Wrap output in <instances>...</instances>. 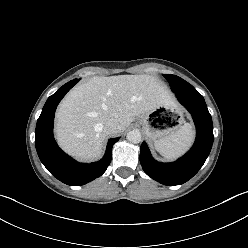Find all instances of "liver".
Segmentation results:
<instances>
[{
	"instance_id": "liver-1",
	"label": "liver",
	"mask_w": 248,
	"mask_h": 248,
	"mask_svg": "<svg viewBox=\"0 0 248 248\" xmlns=\"http://www.w3.org/2000/svg\"><path fill=\"white\" fill-rule=\"evenodd\" d=\"M173 105L169 90L153 76H95L62 100L56 112V138L70 155L92 161L102 155L108 120H117L120 133L134 117Z\"/></svg>"
}]
</instances>
